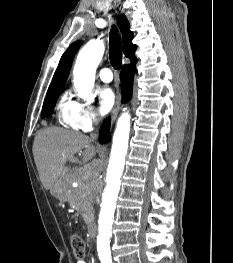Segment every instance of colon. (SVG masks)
Wrapping results in <instances>:
<instances>
[{"label": "colon", "instance_id": "colon-1", "mask_svg": "<svg viewBox=\"0 0 233 263\" xmlns=\"http://www.w3.org/2000/svg\"><path fill=\"white\" fill-rule=\"evenodd\" d=\"M70 242L73 249V255L76 260H81L86 255V244L82 237L78 234L70 236Z\"/></svg>", "mask_w": 233, "mask_h": 263}]
</instances>
